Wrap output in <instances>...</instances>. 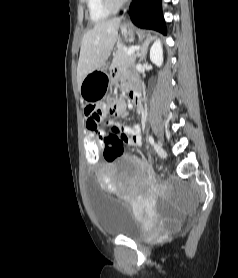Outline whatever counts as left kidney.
<instances>
[{"label": "left kidney", "mask_w": 238, "mask_h": 278, "mask_svg": "<svg viewBox=\"0 0 238 278\" xmlns=\"http://www.w3.org/2000/svg\"><path fill=\"white\" fill-rule=\"evenodd\" d=\"M150 60L157 66H161L163 62V50L161 41L158 39L154 42L150 50Z\"/></svg>", "instance_id": "5707ae66"}]
</instances>
